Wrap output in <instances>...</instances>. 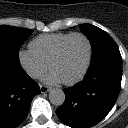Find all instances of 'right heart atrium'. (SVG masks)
<instances>
[{"mask_svg":"<svg viewBox=\"0 0 128 128\" xmlns=\"http://www.w3.org/2000/svg\"><path fill=\"white\" fill-rule=\"evenodd\" d=\"M18 61L23 70L33 79L39 78L48 69V64L31 49H21L18 52Z\"/></svg>","mask_w":128,"mask_h":128,"instance_id":"right-heart-atrium-1","label":"right heart atrium"}]
</instances>
